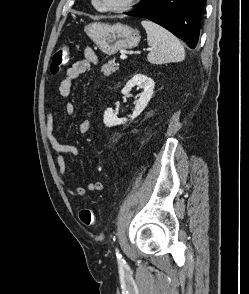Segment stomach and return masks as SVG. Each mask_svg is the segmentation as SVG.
Listing matches in <instances>:
<instances>
[{
	"instance_id": "0dacf381",
	"label": "stomach",
	"mask_w": 249,
	"mask_h": 294,
	"mask_svg": "<svg viewBox=\"0 0 249 294\" xmlns=\"http://www.w3.org/2000/svg\"><path fill=\"white\" fill-rule=\"evenodd\" d=\"M86 34L105 54L113 55L121 49L133 48L140 42L139 32L121 23L114 25L91 23L85 27Z\"/></svg>"
}]
</instances>
